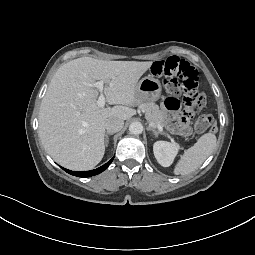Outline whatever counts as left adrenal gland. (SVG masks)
<instances>
[{
	"instance_id": "1",
	"label": "left adrenal gland",
	"mask_w": 255,
	"mask_h": 255,
	"mask_svg": "<svg viewBox=\"0 0 255 255\" xmlns=\"http://www.w3.org/2000/svg\"><path fill=\"white\" fill-rule=\"evenodd\" d=\"M147 129H148V131H152L153 134L155 135V137H158V135L160 134V132H158V131H156V130L150 128V127H148Z\"/></svg>"
}]
</instances>
